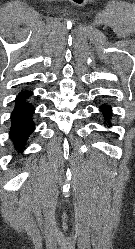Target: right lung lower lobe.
<instances>
[{
	"instance_id": "98d812e1",
	"label": "right lung lower lobe",
	"mask_w": 135,
	"mask_h": 249,
	"mask_svg": "<svg viewBox=\"0 0 135 249\" xmlns=\"http://www.w3.org/2000/svg\"><path fill=\"white\" fill-rule=\"evenodd\" d=\"M32 92L22 89L14 101V109L11 113L10 140L18 152L26 148L28 137L35 129V107L30 102Z\"/></svg>"
}]
</instances>
